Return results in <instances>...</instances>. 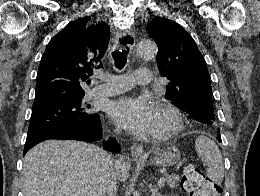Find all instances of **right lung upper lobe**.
Returning a JSON list of instances; mask_svg holds the SVG:
<instances>
[{"label":"right lung upper lobe","mask_w":260,"mask_h":196,"mask_svg":"<svg viewBox=\"0 0 260 196\" xmlns=\"http://www.w3.org/2000/svg\"><path fill=\"white\" fill-rule=\"evenodd\" d=\"M90 19L70 22L49 42L39 65L33 105L58 96L85 94L81 84L102 66L110 39L109 25H89Z\"/></svg>","instance_id":"cb5924a9"}]
</instances>
